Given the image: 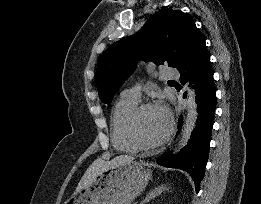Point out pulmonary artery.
I'll return each mask as SVG.
<instances>
[{
    "instance_id": "1",
    "label": "pulmonary artery",
    "mask_w": 261,
    "mask_h": 204,
    "mask_svg": "<svg viewBox=\"0 0 261 204\" xmlns=\"http://www.w3.org/2000/svg\"><path fill=\"white\" fill-rule=\"evenodd\" d=\"M160 77L162 80L176 79L179 77V73L174 68L165 67L161 70ZM121 97L129 100L138 101L140 98V88L136 86L126 89L122 92Z\"/></svg>"
}]
</instances>
